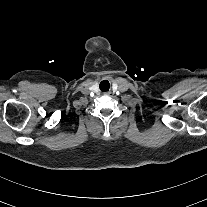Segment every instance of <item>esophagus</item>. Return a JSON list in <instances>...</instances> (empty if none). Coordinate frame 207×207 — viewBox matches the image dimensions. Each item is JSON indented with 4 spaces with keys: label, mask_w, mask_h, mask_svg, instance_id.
I'll use <instances>...</instances> for the list:
<instances>
[{
    "label": "esophagus",
    "mask_w": 207,
    "mask_h": 207,
    "mask_svg": "<svg viewBox=\"0 0 207 207\" xmlns=\"http://www.w3.org/2000/svg\"><path fill=\"white\" fill-rule=\"evenodd\" d=\"M110 94H111L110 91L104 93V95H110Z\"/></svg>",
    "instance_id": "34e87169"
}]
</instances>
